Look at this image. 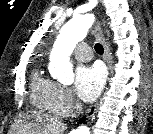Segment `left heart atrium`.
<instances>
[{"mask_svg": "<svg viewBox=\"0 0 153 134\" xmlns=\"http://www.w3.org/2000/svg\"><path fill=\"white\" fill-rule=\"evenodd\" d=\"M104 82V70L98 65L80 66L75 71L74 89L84 101H93L100 94Z\"/></svg>", "mask_w": 153, "mask_h": 134, "instance_id": "39dd6f15", "label": "left heart atrium"}]
</instances>
